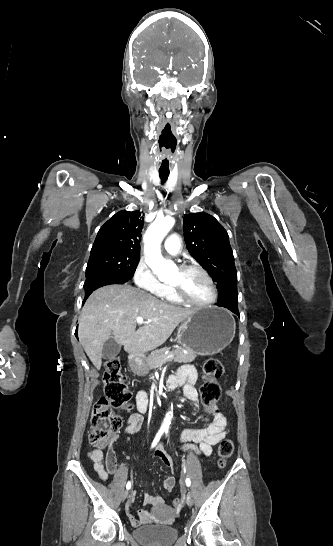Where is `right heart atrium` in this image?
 Returning <instances> with one entry per match:
<instances>
[{"instance_id": "d8ad5b80", "label": "right heart atrium", "mask_w": 333, "mask_h": 546, "mask_svg": "<svg viewBox=\"0 0 333 546\" xmlns=\"http://www.w3.org/2000/svg\"><path fill=\"white\" fill-rule=\"evenodd\" d=\"M133 280L137 287L155 296H162L166 290V285L157 279L151 267L144 260H140L138 263Z\"/></svg>"}]
</instances>
